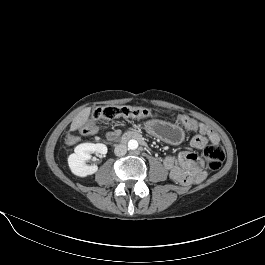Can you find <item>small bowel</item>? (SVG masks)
Here are the masks:
<instances>
[{
    "label": "small bowel",
    "instance_id": "obj_1",
    "mask_svg": "<svg viewBox=\"0 0 265 265\" xmlns=\"http://www.w3.org/2000/svg\"><path fill=\"white\" fill-rule=\"evenodd\" d=\"M196 126L189 130L197 132L191 140V146L195 149H202L207 143L219 141L217 133L209 126L195 120ZM120 131L111 128L105 134L108 141H115ZM164 166L169 171L171 179L181 185H192L203 182L207 176L202 161L193 152L182 151L177 154L168 155L164 159Z\"/></svg>",
    "mask_w": 265,
    "mask_h": 265
}]
</instances>
